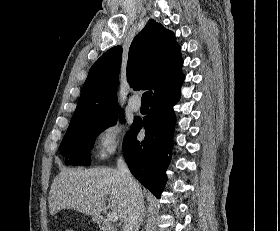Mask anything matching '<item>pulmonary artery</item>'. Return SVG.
Returning <instances> with one entry per match:
<instances>
[{
    "mask_svg": "<svg viewBox=\"0 0 280 231\" xmlns=\"http://www.w3.org/2000/svg\"><path fill=\"white\" fill-rule=\"evenodd\" d=\"M134 97L135 96H132L129 100V107L132 111L136 112L140 109L141 105L140 103L134 101Z\"/></svg>",
    "mask_w": 280,
    "mask_h": 231,
    "instance_id": "obj_1",
    "label": "pulmonary artery"
}]
</instances>
